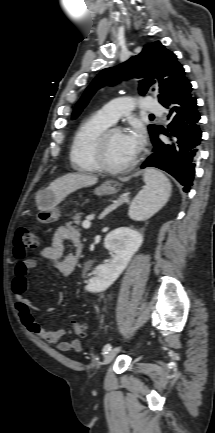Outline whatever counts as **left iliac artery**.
I'll return each instance as SVG.
<instances>
[{
  "label": "left iliac artery",
  "instance_id": "obj_1",
  "mask_svg": "<svg viewBox=\"0 0 215 433\" xmlns=\"http://www.w3.org/2000/svg\"><path fill=\"white\" fill-rule=\"evenodd\" d=\"M109 350H111V345L106 344L103 348V354H107Z\"/></svg>",
  "mask_w": 215,
  "mask_h": 433
}]
</instances>
